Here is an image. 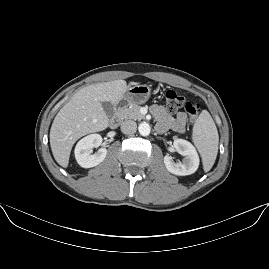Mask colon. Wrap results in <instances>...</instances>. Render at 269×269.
<instances>
[{
  "instance_id": "1",
  "label": "colon",
  "mask_w": 269,
  "mask_h": 269,
  "mask_svg": "<svg viewBox=\"0 0 269 269\" xmlns=\"http://www.w3.org/2000/svg\"><path fill=\"white\" fill-rule=\"evenodd\" d=\"M164 106L170 113H177L184 109L194 121L201 113L198 103L186 101L185 98L174 91H167L164 96Z\"/></svg>"
}]
</instances>
